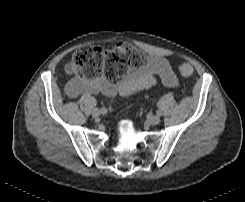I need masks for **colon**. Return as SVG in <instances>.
<instances>
[{"label":"colon","mask_w":245,"mask_h":202,"mask_svg":"<svg viewBox=\"0 0 245 202\" xmlns=\"http://www.w3.org/2000/svg\"><path fill=\"white\" fill-rule=\"evenodd\" d=\"M145 64V54L129 43L120 42L110 49L94 46L78 48L67 62V70L82 79H96L104 75L108 79L125 77L132 69ZM178 70L188 77L193 73L189 63H182Z\"/></svg>","instance_id":"obj_1"}]
</instances>
